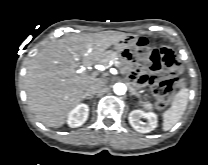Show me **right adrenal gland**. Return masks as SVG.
I'll use <instances>...</instances> for the list:
<instances>
[{"mask_svg": "<svg viewBox=\"0 0 208 165\" xmlns=\"http://www.w3.org/2000/svg\"><path fill=\"white\" fill-rule=\"evenodd\" d=\"M94 95L93 94H89V93H86L85 96H84V99H93Z\"/></svg>", "mask_w": 208, "mask_h": 165, "instance_id": "2a0ac1e0", "label": "right adrenal gland"}]
</instances>
